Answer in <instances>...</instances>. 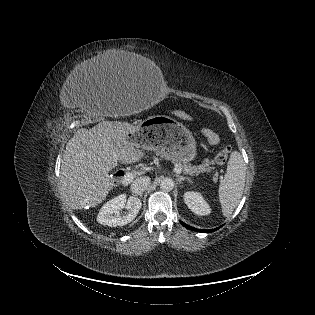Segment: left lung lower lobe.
Masks as SVG:
<instances>
[{
    "label": "left lung lower lobe",
    "mask_w": 315,
    "mask_h": 315,
    "mask_svg": "<svg viewBox=\"0 0 315 315\" xmlns=\"http://www.w3.org/2000/svg\"><path fill=\"white\" fill-rule=\"evenodd\" d=\"M182 225L185 226L186 228L190 229V230H193V231H199V232H202V233H210V232H214L216 230H218L220 227L216 228V229H211V230H203V229H196L194 227H191V226H188L186 225L185 223H183L181 221Z\"/></svg>",
    "instance_id": "left-lung-lower-lobe-1"
}]
</instances>
